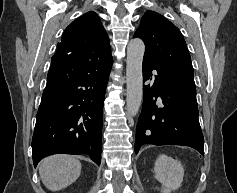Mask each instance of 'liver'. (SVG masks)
Wrapping results in <instances>:
<instances>
[{"instance_id": "obj_1", "label": "liver", "mask_w": 237, "mask_h": 193, "mask_svg": "<svg viewBox=\"0 0 237 193\" xmlns=\"http://www.w3.org/2000/svg\"><path fill=\"white\" fill-rule=\"evenodd\" d=\"M44 186L59 191L75 182L81 173V163L74 156L57 154L44 158L38 165Z\"/></svg>"}]
</instances>
